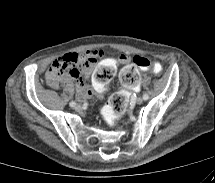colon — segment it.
Returning <instances> with one entry per match:
<instances>
[{
    "mask_svg": "<svg viewBox=\"0 0 215 183\" xmlns=\"http://www.w3.org/2000/svg\"><path fill=\"white\" fill-rule=\"evenodd\" d=\"M150 65L151 63L148 59L141 56H134L132 63L125 66L120 74L124 87L129 88L133 93L138 92L141 88L139 69H146ZM51 68L54 73V77L57 78L62 74L73 73L75 65L71 62H54ZM152 68L156 73H160L163 69L159 62H154L152 64ZM127 106L128 94L126 91L114 94L102 112L106 123L110 127L114 126L116 120L125 112Z\"/></svg>",
    "mask_w": 215,
    "mask_h": 183,
    "instance_id": "obj_1",
    "label": "colon"
}]
</instances>
